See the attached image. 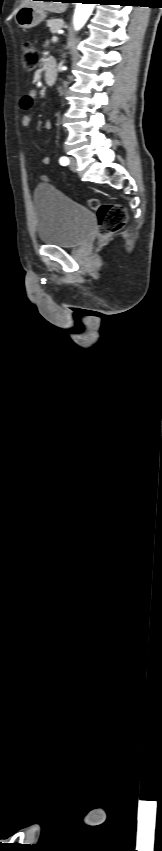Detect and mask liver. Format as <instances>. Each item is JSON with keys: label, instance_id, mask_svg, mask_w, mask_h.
<instances>
[{"label": "liver", "instance_id": "obj_1", "mask_svg": "<svg viewBox=\"0 0 162 851\" xmlns=\"http://www.w3.org/2000/svg\"><path fill=\"white\" fill-rule=\"evenodd\" d=\"M23 6H32L37 9L54 13H63L66 11L68 4L65 2L23 0L21 7Z\"/></svg>", "mask_w": 162, "mask_h": 851}]
</instances>
